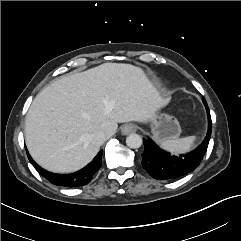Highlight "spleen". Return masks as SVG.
Here are the masks:
<instances>
[{"instance_id":"obj_1","label":"spleen","mask_w":241,"mask_h":241,"mask_svg":"<svg viewBox=\"0 0 241 241\" xmlns=\"http://www.w3.org/2000/svg\"><path fill=\"white\" fill-rule=\"evenodd\" d=\"M195 139V136H188L180 139L165 140L161 142V147L171 153H185L190 150Z\"/></svg>"}]
</instances>
